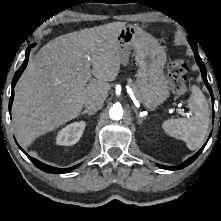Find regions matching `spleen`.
<instances>
[{
    "instance_id": "1",
    "label": "spleen",
    "mask_w": 221,
    "mask_h": 221,
    "mask_svg": "<svg viewBox=\"0 0 221 221\" xmlns=\"http://www.w3.org/2000/svg\"><path fill=\"white\" fill-rule=\"evenodd\" d=\"M187 107L191 117L168 119L162 128L169 136L184 141L190 150L198 149L204 142L210 123V111L204 94L192 87Z\"/></svg>"
}]
</instances>
